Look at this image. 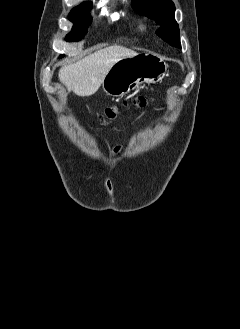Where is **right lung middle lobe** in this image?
<instances>
[{
  "mask_svg": "<svg viewBox=\"0 0 240 329\" xmlns=\"http://www.w3.org/2000/svg\"><path fill=\"white\" fill-rule=\"evenodd\" d=\"M89 9H73L69 14V20L74 23L72 28V32H70L65 40L66 41H79L83 37V35L87 32V27L91 22V16L89 13ZM61 55L60 57H63Z\"/></svg>",
  "mask_w": 240,
  "mask_h": 329,
  "instance_id": "1",
  "label": "right lung middle lobe"
}]
</instances>
